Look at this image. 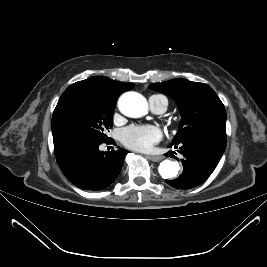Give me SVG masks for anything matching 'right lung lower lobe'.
Listing matches in <instances>:
<instances>
[{"instance_id": "right-lung-lower-lobe-1", "label": "right lung lower lobe", "mask_w": 267, "mask_h": 267, "mask_svg": "<svg viewBox=\"0 0 267 267\" xmlns=\"http://www.w3.org/2000/svg\"><path fill=\"white\" fill-rule=\"evenodd\" d=\"M111 143L112 140L106 141ZM101 143L76 142L55 148V157L67 179L84 190L107 188L119 176L128 151L99 150Z\"/></svg>"}]
</instances>
